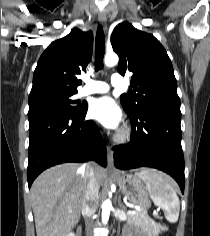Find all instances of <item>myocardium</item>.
<instances>
[{
    "label": "myocardium",
    "mask_w": 210,
    "mask_h": 236,
    "mask_svg": "<svg viewBox=\"0 0 210 236\" xmlns=\"http://www.w3.org/2000/svg\"><path fill=\"white\" fill-rule=\"evenodd\" d=\"M131 136V131L129 128L122 129L117 135L115 136V140L118 143H124L129 140Z\"/></svg>",
    "instance_id": "1"
}]
</instances>
